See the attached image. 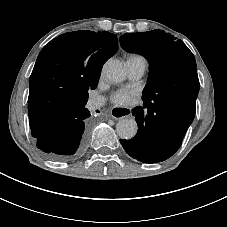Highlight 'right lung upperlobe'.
I'll use <instances>...</instances> for the list:
<instances>
[{"label":"right lung upper lobe","instance_id":"obj_1","mask_svg":"<svg viewBox=\"0 0 227 227\" xmlns=\"http://www.w3.org/2000/svg\"><path fill=\"white\" fill-rule=\"evenodd\" d=\"M118 48L109 32L75 31L58 36L39 53L29 79L28 112L32 136L61 127L72 104L95 89L104 62Z\"/></svg>","mask_w":227,"mask_h":227}]
</instances>
